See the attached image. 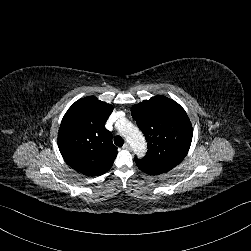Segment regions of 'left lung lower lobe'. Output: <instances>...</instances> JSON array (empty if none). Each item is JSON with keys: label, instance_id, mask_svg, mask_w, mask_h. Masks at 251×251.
<instances>
[{"label": "left lung lower lobe", "instance_id": "left-lung-lower-lobe-1", "mask_svg": "<svg viewBox=\"0 0 251 251\" xmlns=\"http://www.w3.org/2000/svg\"><path fill=\"white\" fill-rule=\"evenodd\" d=\"M138 168L142 171L145 172L147 174H151V175H158L164 172H167L169 170H171L172 168L166 167V166H160V165H156L153 163H149L147 161H144L142 159H134Z\"/></svg>", "mask_w": 251, "mask_h": 251}]
</instances>
